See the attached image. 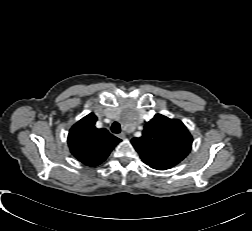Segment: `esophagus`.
Listing matches in <instances>:
<instances>
[{"label": "esophagus", "instance_id": "esophagus-1", "mask_svg": "<svg viewBox=\"0 0 252 231\" xmlns=\"http://www.w3.org/2000/svg\"><path fill=\"white\" fill-rule=\"evenodd\" d=\"M118 137L121 138V139H125L126 135H125V133H120Z\"/></svg>", "mask_w": 252, "mask_h": 231}]
</instances>
